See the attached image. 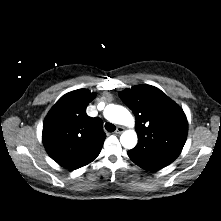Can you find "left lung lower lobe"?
<instances>
[{"label": "left lung lower lobe", "instance_id": "1", "mask_svg": "<svg viewBox=\"0 0 221 221\" xmlns=\"http://www.w3.org/2000/svg\"><path fill=\"white\" fill-rule=\"evenodd\" d=\"M128 156L135 164L149 171L160 170L175 160L172 157L132 154L129 151Z\"/></svg>", "mask_w": 221, "mask_h": 221}]
</instances>
